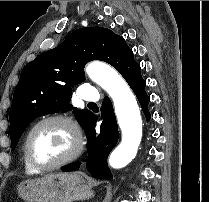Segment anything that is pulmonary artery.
Masks as SVG:
<instances>
[{"label": "pulmonary artery", "instance_id": "obj_1", "mask_svg": "<svg viewBox=\"0 0 209 202\" xmlns=\"http://www.w3.org/2000/svg\"><path fill=\"white\" fill-rule=\"evenodd\" d=\"M81 98L84 101L96 103L99 101L100 96H99V92L96 89L91 87H83Z\"/></svg>", "mask_w": 209, "mask_h": 202}]
</instances>
